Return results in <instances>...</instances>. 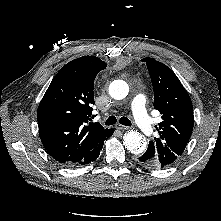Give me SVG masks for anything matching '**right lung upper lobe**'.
I'll return each instance as SVG.
<instances>
[{
    "label": "right lung upper lobe",
    "instance_id": "obj_1",
    "mask_svg": "<svg viewBox=\"0 0 221 221\" xmlns=\"http://www.w3.org/2000/svg\"><path fill=\"white\" fill-rule=\"evenodd\" d=\"M107 64L94 56L67 63L56 74L37 112L40 139L48 153L66 165L80 161L96 147L107 129L91 123L93 85Z\"/></svg>",
    "mask_w": 221,
    "mask_h": 221
}]
</instances>
